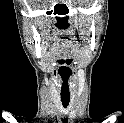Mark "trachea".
I'll list each match as a JSON object with an SVG mask.
<instances>
[{
  "instance_id": "trachea-1",
  "label": "trachea",
  "mask_w": 124,
  "mask_h": 123,
  "mask_svg": "<svg viewBox=\"0 0 124 123\" xmlns=\"http://www.w3.org/2000/svg\"><path fill=\"white\" fill-rule=\"evenodd\" d=\"M61 102L64 108H67L70 103V97H61Z\"/></svg>"
}]
</instances>
